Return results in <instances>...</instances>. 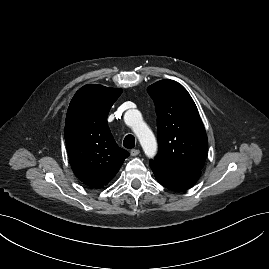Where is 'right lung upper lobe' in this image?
Instances as JSON below:
<instances>
[{
	"mask_svg": "<svg viewBox=\"0 0 269 269\" xmlns=\"http://www.w3.org/2000/svg\"><path fill=\"white\" fill-rule=\"evenodd\" d=\"M121 93L122 89L85 85L67 111L65 140L72 170L93 188L112 180L129 156L116 144L107 123L109 110Z\"/></svg>",
	"mask_w": 269,
	"mask_h": 269,
	"instance_id": "right-lung-upper-lobe-1",
	"label": "right lung upper lobe"
}]
</instances>
